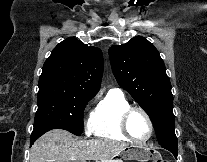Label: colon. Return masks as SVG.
I'll list each match as a JSON object with an SVG mask.
<instances>
[{"label": "colon", "mask_w": 207, "mask_h": 162, "mask_svg": "<svg viewBox=\"0 0 207 162\" xmlns=\"http://www.w3.org/2000/svg\"><path fill=\"white\" fill-rule=\"evenodd\" d=\"M154 162H168V161H166V160H156Z\"/></svg>", "instance_id": "colon-1"}]
</instances>
